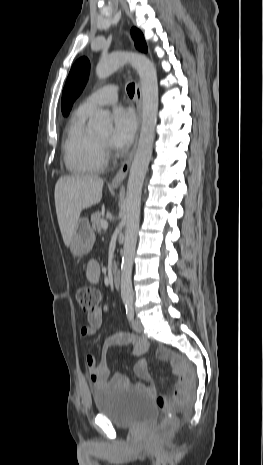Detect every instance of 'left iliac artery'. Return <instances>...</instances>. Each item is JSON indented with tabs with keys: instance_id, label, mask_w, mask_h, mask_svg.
<instances>
[{
	"instance_id": "obj_1",
	"label": "left iliac artery",
	"mask_w": 263,
	"mask_h": 465,
	"mask_svg": "<svg viewBox=\"0 0 263 465\" xmlns=\"http://www.w3.org/2000/svg\"><path fill=\"white\" fill-rule=\"evenodd\" d=\"M125 307H126L127 318H128L129 321H132L133 318H134V305H133V302L132 301L126 302Z\"/></svg>"
}]
</instances>
